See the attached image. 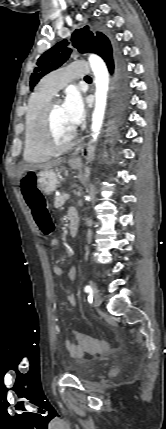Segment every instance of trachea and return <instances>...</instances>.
<instances>
[{
	"label": "trachea",
	"mask_w": 166,
	"mask_h": 429,
	"mask_svg": "<svg viewBox=\"0 0 166 429\" xmlns=\"http://www.w3.org/2000/svg\"><path fill=\"white\" fill-rule=\"evenodd\" d=\"M85 79H90V76H86Z\"/></svg>",
	"instance_id": "trachea-1"
}]
</instances>
